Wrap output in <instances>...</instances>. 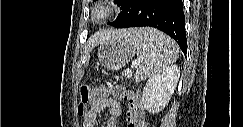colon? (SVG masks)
Listing matches in <instances>:
<instances>
[{"label":"colon","instance_id":"1","mask_svg":"<svg viewBox=\"0 0 243 127\" xmlns=\"http://www.w3.org/2000/svg\"><path fill=\"white\" fill-rule=\"evenodd\" d=\"M79 96L80 102L77 106V113L80 116L84 114L88 105L110 97L116 101L124 100L127 103L125 115L126 127H146L143 109L137 100V96L122 85L109 82L107 89L98 91H92L88 86L82 85L79 88Z\"/></svg>","mask_w":243,"mask_h":127}]
</instances>
